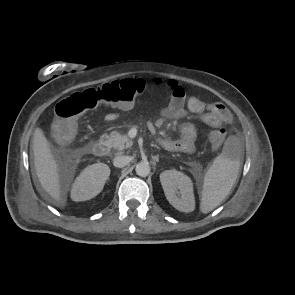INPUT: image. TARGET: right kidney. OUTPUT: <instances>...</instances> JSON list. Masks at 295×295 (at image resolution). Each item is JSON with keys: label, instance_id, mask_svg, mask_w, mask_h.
<instances>
[{"label": "right kidney", "instance_id": "obj_1", "mask_svg": "<svg viewBox=\"0 0 295 295\" xmlns=\"http://www.w3.org/2000/svg\"><path fill=\"white\" fill-rule=\"evenodd\" d=\"M110 175V168L104 163L87 166L76 178L72 189V200L86 201L97 196Z\"/></svg>", "mask_w": 295, "mask_h": 295}]
</instances>
